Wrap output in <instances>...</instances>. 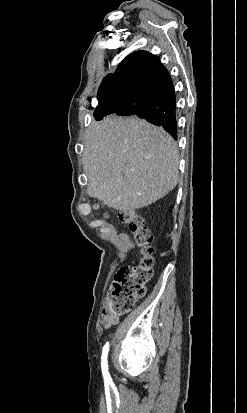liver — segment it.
<instances>
[{"label": "liver", "instance_id": "6515ba94", "mask_svg": "<svg viewBox=\"0 0 247 413\" xmlns=\"http://www.w3.org/2000/svg\"><path fill=\"white\" fill-rule=\"evenodd\" d=\"M178 164L172 136L142 118L110 114L86 130L87 192L112 209H142L168 194L179 180Z\"/></svg>", "mask_w": 247, "mask_h": 413}]
</instances>
